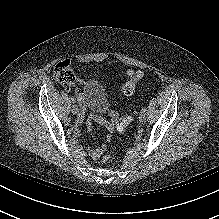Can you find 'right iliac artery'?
Segmentation results:
<instances>
[{
	"label": "right iliac artery",
	"instance_id": "right-iliac-artery-1",
	"mask_svg": "<svg viewBox=\"0 0 219 219\" xmlns=\"http://www.w3.org/2000/svg\"><path fill=\"white\" fill-rule=\"evenodd\" d=\"M71 101H72L73 103H75V102H76V99H75L74 97H71Z\"/></svg>",
	"mask_w": 219,
	"mask_h": 219
}]
</instances>
